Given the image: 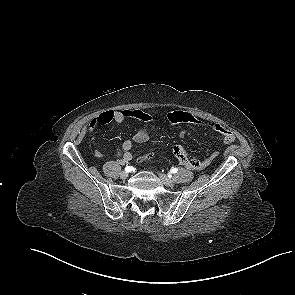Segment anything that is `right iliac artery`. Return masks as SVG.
Instances as JSON below:
<instances>
[{
	"instance_id": "right-iliac-artery-1",
	"label": "right iliac artery",
	"mask_w": 295,
	"mask_h": 295,
	"mask_svg": "<svg viewBox=\"0 0 295 295\" xmlns=\"http://www.w3.org/2000/svg\"><path fill=\"white\" fill-rule=\"evenodd\" d=\"M125 171L126 172H131L132 171V167L131 166H126L125 167Z\"/></svg>"
}]
</instances>
